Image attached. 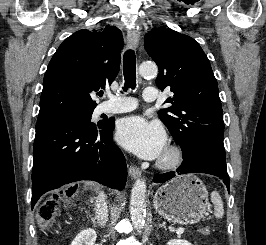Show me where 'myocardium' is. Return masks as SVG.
<instances>
[{
	"label": "myocardium",
	"instance_id": "1",
	"mask_svg": "<svg viewBox=\"0 0 266 245\" xmlns=\"http://www.w3.org/2000/svg\"><path fill=\"white\" fill-rule=\"evenodd\" d=\"M182 158V150L176 144H170L157 162L160 169L170 170L178 166Z\"/></svg>",
	"mask_w": 266,
	"mask_h": 245
}]
</instances>
